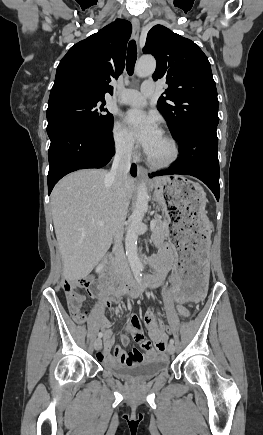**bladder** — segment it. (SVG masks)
I'll use <instances>...</instances> for the list:
<instances>
[{
	"instance_id": "obj_1",
	"label": "bladder",
	"mask_w": 263,
	"mask_h": 435,
	"mask_svg": "<svg viewBox=\"0 0 263 435\" xmlns=\"http://www.w3.org/2000/svg\"><path fill=\"white\" fill-rule=\"evenodd\" d=\"M168 367V359L156 356L135 364L105 363L104 368L114 376L131 381H145L164 372Z\"/></svg>"
}]
</instances>
